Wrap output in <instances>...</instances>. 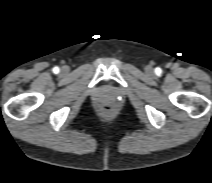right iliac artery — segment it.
<instances>
[{"label":"right iliac artery","mask_w":212,"mask_h":183,"mask_svg":"<svg viewBox=\"0 0 212 183\" xmlns=\"http://www.w3.org/2000/svg\"><path fill=\"white\" fill-rule=\"evenodd\" d=\"M53 72H54L55 74H57V73L59 72V68H58V67H54V68H53Z\"/></svg>","instance_id":"right-iliac-artery-1"}]
</instances>
